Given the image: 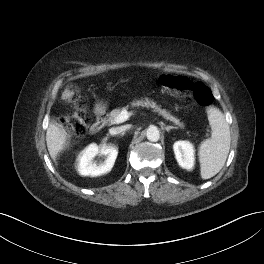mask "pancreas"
<instances>
[{"mask_svg":"<svg viewBox=\"0 0 264 264\" xmlns=\"http://www.w3.org/2000/svg\"><path fill=\"white\" fill-rule=\"evenodd\" d=\"M132 107H146V108H151L154 112L158 113L159 115H161L164 119H166L167 121H171L173 122L175 125H177L178 127L184 128V124L182 122H180V120L176 117H174L173 115H171L169 112H167L165 109H162L161 107H159L154 101L152 100H137V101H133L131 103ZM128 108V107H126ZM122 110L121 109H114L112 110L107 116L108 119L106 120V123L108 125H112L114 124V120L115 118L120 114Z\"/></svg>","mask_w":264,"mask_h":264,"instance_id":"obj_1","label":"pancreas"}]
</instances>
